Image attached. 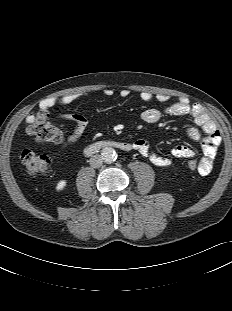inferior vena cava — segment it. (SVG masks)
I'll return each mask as SVG.
<instances>
[{
    "label": "inferior vena cava",
    "instance_id": "obj_1",
    "mask_svg": "<svg viewBox=\"0 0 232 311\" xmlns=\"http://www.w3.org/2000/svg\"><path fill=\"white\" fill-rule=\"evenodd\" d=\"M90 166L93 168H99L103 164V159L100 155H94L89 160Z\"/></svg>",
    "mask_w": 232,
    "mask_h": 311
}]
</instances>
